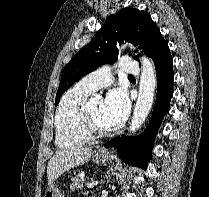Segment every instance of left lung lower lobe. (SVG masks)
Here are the masks:
<instances>
[{
  "label": "left lung lower lobe",
  "instance_id": "0a47b994",
  "mask_svg": "<svg viewBox=\"0 0 209 197\" xmlns=\"http://www.w3.org/2000/svg\"><path fill=\"white\" fill-rule=\"evenodd\" d=\"M157 71V98L153 108L152 119L144 133L138 137H116L105 144L117 147V153L127 163L146 169L151 158L153 139L164 115L169 110L173 95V63L166 41L161 43L152 55Z\"/></svg>",
  "mask_w": 209,
  "mask_h": 197
}]
</instances>
